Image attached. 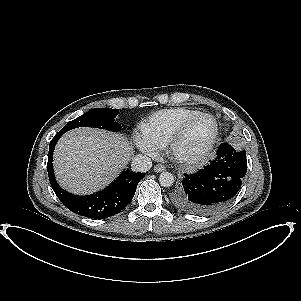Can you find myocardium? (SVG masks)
I'll list each match as a JSON object with an SVG mask.
<instances>
[{"label": "myocardium", "instance_id": "f54148a6", "mask_svg": "<svg viewBox=\"0 0 301 301\" xmlns=\"http://www.w3.org/2000/svg\"><path fill=\"white\" fill-rule=\"evenodd\" d=\"M202 118H208L210 119L214 124V130L213 134L208 141V143L196 154L194 155H183L178 151V146L181 142V140L184 138L187 130L189 127L196 122L199 119ZM218 137V123L214 116L208 113H199L189 119H187L185 122H183L178 129L173 133V135L170 137L166 144V150L168 154L173 157L175 160L185 163V164H196L203 160H205L212 149L214 148V145L216 143Z\"/></svg>", "mask_w": 301, "mask_h": 301}]
</instances>
